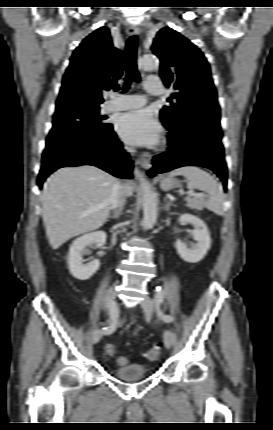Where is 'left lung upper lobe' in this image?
<instances>
[{"instance_id":"1","label":"left lung upper lobe","mask_w":273,"mask_h":430,"mask_svg":"<svg viewBox=\"0 0 273 430\" xmlns=\"http://www.w3.org/2000/svg\"><path fill=\"white\" fill-rule=\"evenodd\" d=\"M152 51L161 61L164 84L175 89L168 99L170 106L160 111L162 121L182 131L202 114L220 120L210 67L200 49L177 31L165 27L156 35Z\"/></svg>"}]
</instances>
